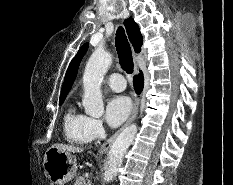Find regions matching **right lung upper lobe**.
Segmentation results:
<instances>
[{"label":"right lung upper lobe","instance_id":"right-lung-upper-lobe-1","mask_svg":"<svg viewBox=\"0 0 233 185\" xmlns=\"http://www.w3.org/2000/svg\"><path fill=\"white\" fill-rule=\"evenodd\" d=\"M124 25L126 27L129 39L134 47L135 52L139 53L141 51L143 39H142V35L140 33V29H139L138 25L131 17L124 21ZM87 47H88V44L87 43L84 44L79 49L77 55L71 61L70 65L68 67V70L66 72V75H65L64 84H63V87L61 90L59 102L64 101V99L66 97L65 94H67L68 91L70 90V88L75 80V77L77 75L79 63H80L83 55L85 54Z\"/></svg>","mask_w":233,"mask_h":185}]
</instances>
